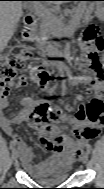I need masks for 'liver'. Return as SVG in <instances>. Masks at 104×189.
<instances>
[{
	"instance_id": "obj_1",
	"label": "liver",
	"mask_w": 104,
	"mask_h": 189,
	"mask_svg": "<svg viewBox=\"0 0 104 189\" xmlns=\"http://www.w3.org/2000/svg\"><path fill=\"white\" fill-rule=\"evenodd\" d=\"M60 3V2H55ZM23 3L21 1H1L0 3V48L3 50L13 36L16 25L21 18Z\"/></svg>"
}]
</instances>
